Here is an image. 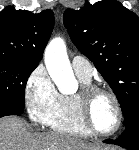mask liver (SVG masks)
I'll use <instances>...</instances> for the list:
<instances>
[{
  "instance_id": "obj_1",
  "label": "liver",
  "mask_w": 139,
  "mask_h": 150,
  "mask_svg": "<svg viewBox=\"0 0 139 150\" xmlns=\"http://www.w3.org/2000/svg\"><path fill=\"white\" fill-rule=\"evenodd\" d=\"M100 147L59 133H32L25 120L0 119V150H98Z\"/></svg>"
}]
</instances>
